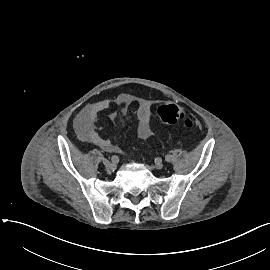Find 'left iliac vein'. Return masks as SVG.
Wrapping results in <instances>:
<instances>
[{"label": "left iliac vein", "instance_id": "4c4485c4", "mask_svg": "<svg viewBox=\"0 0 270 270\" xmlns=\"http://www.w3.org/2000/svg\"><path fill=\"white\" fill-rule=\"evenodd\" d=\"M163 166H164V165H163V163H162V162H157V163L155 164V166H154V167H155L156 169H162V168H163Z\"/></svg>", "mask_w": 270, "mask_h": 270}]
</instances>
